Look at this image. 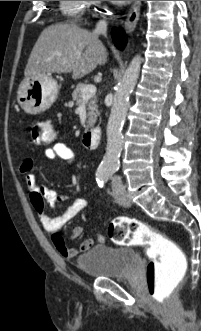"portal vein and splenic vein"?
Instances as JSON below:
<instances>
[{
  "mask_svg": "<svg viewBox=\"0 0 201 331\" xmlns=\"http://www.w3.org/2000/svg\"><path fill=\"white\" fill-rule=\"evenodd\" d=\"M96 93V87L94 85H86L82 90V97L84 99L92 97Z\"/></svg>",
  "mask_w": 201,
  "mask_h": 331,
  "instance_id": "1",
  "label": "portal vein and splenic vein"
}]
</instances>
